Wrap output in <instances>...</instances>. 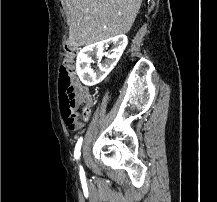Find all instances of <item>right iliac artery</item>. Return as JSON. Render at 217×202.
Returning a JSON list of instances; mask_svg holds the SVG:
<instances>
[{"instance_id": "1", "label": "right iliac artery", "mask_w": 217, "mask_h": 202, "mask_svg": "<svg viewBox=\"0 0 217 202\" xmlns=\"http://www.w3.org/2000/svg\"><path fill=\"white\" fill-rule=\"evenodd\" d=\"M82 141H83V138L80 137V139H78V142L75 146L74 157L77 161H79L80 159V155H81L80 150H81Z\"/></svg>"}]
</instances>
